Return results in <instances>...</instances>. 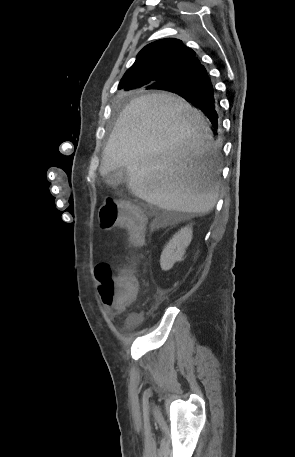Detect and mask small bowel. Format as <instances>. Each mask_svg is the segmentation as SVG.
Wrapping results in <instances>:
<instances>
[{
  "label": "small bowel",
  "instance_id": "obj_1",
  "mask_svg": "<svg viewBox=\"0 0 295 457\" xmlns=\"http://www.w3.org/2000/svg\"><path fill=\"white\" fill-rule=\"evenodd\" d=\"M141 318H142V315H135V316L131 317V321L136 322Z\"/></svg>",
  "mask_w": 295,
  "mask_h": 457
}]
</instances>
